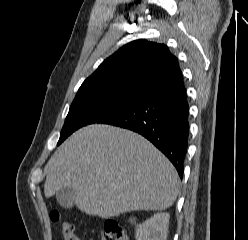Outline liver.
I'll list each match as a JSON object with an SVG mask.
<instances>
[{
    "instance_id": "6515ba94",
    "label": "liver",
    "mask_w": 248,
    "mask_h": 240,
    "mask_svg": "<svg viewBox=\"0 0 248 240\" xmlns=\"http://www.w3.org/2000/svg\"><path fill=\"white\" fill-rule=\"evenodd\" d=\"M46 170L47 198L72 187L76 207L104 219L135 210H165L180 187L172 163L148 140L104 124L73 133L50 158Z\"/></svg>"
}]
</instances>
